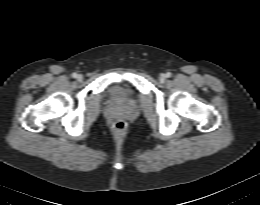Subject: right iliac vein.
Masks as SVG:
<instances>
[{
  "instance_id": "right-iliac-vein-1",
  "label": "right iliac vein",
  "mask_w": 260,
  "mask_h": 205,
  "mask_svg": "<svg viewBox=\"0 0 260 205\" xmlns=\"http://www.w3.org/2000/svg\"><path fill=\"white\" fill-rule=\"evenodd\" d=\"M76 78H77V80H78V81H82V79H83V76H82L81 74H79V75H77V77H76Z\"/></svg>"
}]
</instances>
